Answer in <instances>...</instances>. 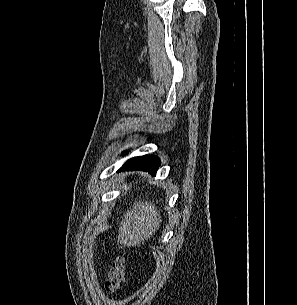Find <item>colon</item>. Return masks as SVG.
<instances>
[{
	"instance_id": "colon-1",
	"label": "colon",
	"mask_w": 297,
	"mask_h": 305,
	"mask_svg": "<svg viewBox=\"0 0 297 305\" xmlns=\"http://www.w3.org/2000/svg\"><path fill=\"white\" fill-rule=\"evenodd\" d=\"M127 276V264L124 258H116L108 273L105 288L109 293L118 291Z\"/></svg>"
}]
</instances>
